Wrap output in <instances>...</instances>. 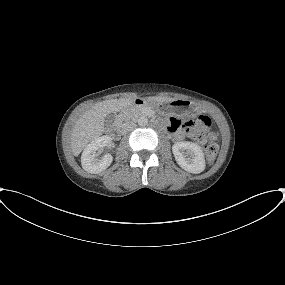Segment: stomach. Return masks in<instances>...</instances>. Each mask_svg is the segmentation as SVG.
<instances>
[{"mask_svg": "<svg viewBox=\"0 0 285 285\" xmlns=\"http://www.w3.org/2000/svg\"><path fill=\"white\" fill-rule=\"evenodd\" d=\"M146 103L161 114H194L196 112V107L193 102L185 99H173L169 102H159L148 99Z\"/></svg>", "mask_w": 285, "mask_h": 285, "instance_id": "1", "label": "stomach"}]
</instances>
